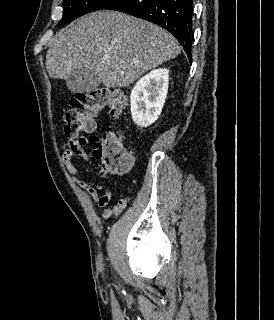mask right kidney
Instances as JSON below:
<instances>
[{
  "label": "right kidney",
  "mask_w": 274,
  "mask_h": 320,
  "mask_svg": "<svg viewBox=\"0 0 274 320\" xmlns=\"http://www.w3.org/2000/svg\"><path fill=\"white\" fill-rule=\"evenodd\" d=\"M169 70H152L136 82L130 94L131 116L134 124L148 128L158 120L168 92Z\"/></svg>",
  "instance_id": "obj_1"
}]
</instances>
